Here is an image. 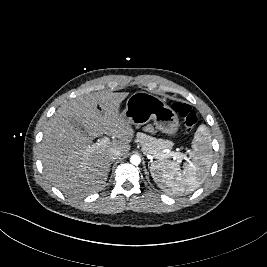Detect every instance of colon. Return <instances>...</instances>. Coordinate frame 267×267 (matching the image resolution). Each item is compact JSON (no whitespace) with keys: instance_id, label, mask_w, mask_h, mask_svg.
Wrapping results in <instances>:
<instances>
[{"instance_id":"5ec220e1","label":"colon","mask_w":267,"mask_h":267,"mask_svg":"<svg viewBox=\"0 0 267 267\" xmlns=\"http://www.w3.org/2000/svg\"><path fill=\"white\" fill-rule=\"evenodd\" d=\"M172 108L181 117L185 130L191 132L198 121L196 111L191 106L179 102L174 103Z\"/></svg>"}]
</instances>
